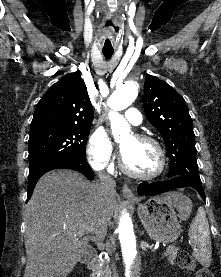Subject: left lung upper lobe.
I'll use <instances>...</instances> for the list:
<instances>
[{"mask_svg":"<svg viewBox=\"0 0 221 277\" xmlns=\"http://www.w3.org/2000/svg\"><path fill=\"white\" fill-rule=\"evenodd\" d=\"M143 106L147 119L157 128L170 157L168 177L200 179L191 117L184 98L170 85L147 75Z\"/></svg>","mask_w":221,"mask_h":277,"instance_id":"5c2ea615","label":"left lung upper lobe"}]
</instances>
